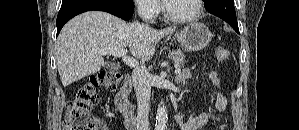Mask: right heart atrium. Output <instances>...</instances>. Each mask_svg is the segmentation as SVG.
<instances>
[{
    "label": "right heart atrium",
    "mask_w": 299,
    "mask_h": 130,
    "mask_svg": "<svg viewBox=\"0 0 299 130\" xmlns=\"http://www.w3.org/2000/svg\"><path fill=\"white\" fill-rule=\"evenodd\" d=\"M135 6L139 15L146 20H154L161 11L157 0H136Z\"/></svg>",
    "instance_id": "1"
}]
</instances>
